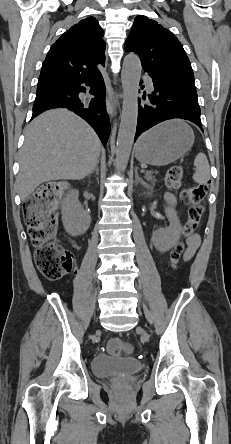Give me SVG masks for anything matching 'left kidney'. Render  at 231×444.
Listing matches in <instances>:
<instances>
[{
    "instance_id": "obj_1",
    "label": "left kidney",
    "mask_w": 231,
    "mask_h": 444,
    "mask_svg": "<svg viewBox=\"0 0 231 444\" xmlns=\"http://www.w3.org/2000/svg\"><path fill=\"white\" fill-rule=\"evenodd\" d=\"M165 211L170 221V226L159 229L152 235V242L155 248L160 252H167L173 246H175L178 243L183 231L175 209L168 207L165 209Z\"/></svg>"
}]
</instances>
